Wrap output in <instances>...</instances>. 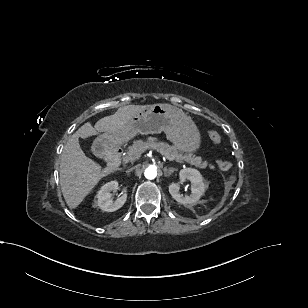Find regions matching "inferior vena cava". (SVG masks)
Listing matches in <instances>:
<instances>
[{"label": "inferior vena cava", "instance_id": "1", "mask_svg": "<svg viewBox=\"0 0 308 308\" xmlns=\"http://www.w3.org/2000/svg\"><path fill=\"white\" fill-rule=\"evenodd\" d=\"M133 169H134L133 167H132V168H130V169H128V170L126 171V173L131 172Z\"/></svg>", "mask_w": 308, "mask_h": 308}]
</instances>
